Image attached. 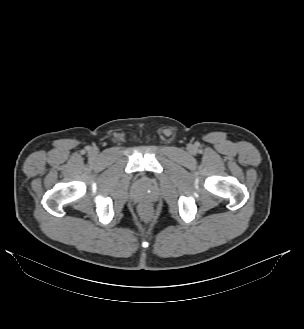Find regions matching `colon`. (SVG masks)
I'll return each mask as SVG.
<instances>
[{"label":"colon","instance_id":"1","mask_svg":"<svg viewBox=\"0 0 304 329\" xmlns=\"http://www.w3.org/2000/svg\"><path fill=\"white\" fill-rule=\"evenodd\" d=\"M140 214L144 219L148 220L152 215V209L147 205H143L140 208Z\"/></svg>","mask_w":304,"mask_h":329}]
</instances>
